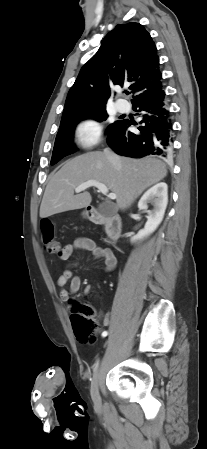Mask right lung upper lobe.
Returning <instances> with one entry per match:
<instances>
[{"mask_svg":"<svg viewBox=\"0 0 207 449\" xmlns=\"http://www.w3.org/2000/svg\"><path fill=\"white\" fill-rule=\"evenodd\" d=\"M156 50L141 24L117 25L82 67L67 95L62 119L105 109L112 84H130L132 102L159 92L162 84Z\"/></svg>","mask_w":207,"mask_h":449,"instance_id":"cb5924a9","label":"right lung upper lobe"}]
</instances>
